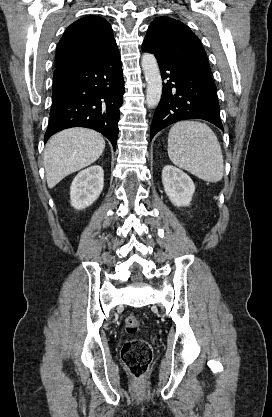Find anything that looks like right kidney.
I'll return each instance as SVG.
<instances>
[{
  "instance_id": "1",
  "label": "right kidney",
  "mask_w": 272,
  "mask_h": 417,
  "mask_svg": "<svg viewBox=\"0 0 272 417\" xmlns=\"http://www.w3.org/2000/svg\"><path fill=\"white\" fill-rule=\"evenodd\" d=\"M104 186V171L94 165L82 170L74 178L70 187L71 205L77 210L92 205L101 194Z\"/></svg>"
}]
</instances>
